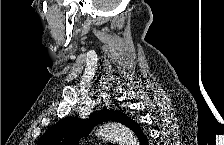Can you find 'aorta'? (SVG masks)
Returning <instances> with one entry per match:
<instances>
[{"label": "aorta", "mask_w": 224, "mask_h": 145, "mask_svg": "<svg viewBox=\"0 0 224 145\" xmlns=\"http://www.w3.org/2000/svg\"><path fill=\"white\" fill-rule=\"evenodd\" d=\"M96 136L106 141H113L119 145L139 144L138 139L129 128L115 122L105 123L97 128Z\"/></svg>", "instance_id": "1"}]
</instances>
